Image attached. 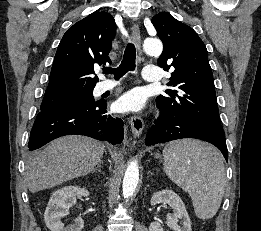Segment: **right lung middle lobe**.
I'll list each match as a JSON object with an SVG mask.
<instances>
[{
  "label": "right lung middle lobe",
  "instance_id": "obj_1",
  "mask_svg": "<svg viewBox=\"0 0 261 231\" xmlns=\"http://www.w3.org/2000/svg\"><path fill=\"white\" fill-rule=\"evenodd\" d=\"M92 93L93 89L46 91L40 110L47 111L71 104L93 103L95 100Z\"/></svg>",
  "mask_w": 261,
  "mask_h": 231
}]
</instances>
